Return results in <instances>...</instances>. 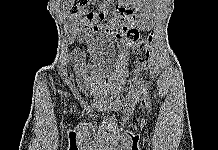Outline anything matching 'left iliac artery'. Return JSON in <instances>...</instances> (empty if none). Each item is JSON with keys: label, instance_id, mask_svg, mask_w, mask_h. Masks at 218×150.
I'll use <instances>...</instances> for the list:
<instances>
[{"label": "left iliac artery", "instance_id": "1", "mask_svg": "<svg viewBox=\"0 0 218 150\" xmlns=\"http://www.w3.org/2000/svg\"><path fill=\"white\" fill-rule=\"evenodd\" d=\"M143 92H144V100L146 101L147 106L150 107V97L148 95L147 89L143 88Z\"/></svg>", "mask_w": 218, "mask_h": 150}]
</instances>
